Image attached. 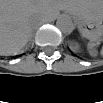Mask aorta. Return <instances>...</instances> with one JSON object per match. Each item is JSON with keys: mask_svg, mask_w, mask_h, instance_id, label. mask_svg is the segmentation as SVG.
<instances>
[{"mask_svg": "<svg viewBox=\"0 0 103 103\" xmlns=\"http://www.w3.org/2000/svg\"><path fill=\"white\" fill-rule=\"evenodd\" d=\"M56 25L63 33H70L74 28L71 18L67 15H61L57 19Z\"/></svg>", "mask_w": 103, "mask_h": 103, "instance_id": "762f6f07", "label": "aorta"}]
</instances>
